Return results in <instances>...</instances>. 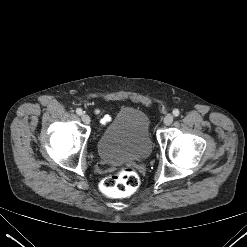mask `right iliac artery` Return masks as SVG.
Returning a JSON list of instances; mask_svg holds the SVG:
<instances>
[{
  "instance_id": "obj_1",
  "label": "right iliac artery",
  "mask_w": 247,
  "mask_h": 247,
  "mask_svg": "<svg viewBox=\"0 0 247 247\" xmlns=\"http://www.w3.org/2000/svg\"><path fill=\"white\" fill-rule=\"evenodd\" d=\"M76 113H77L78 115H82L83 111H82V109L77 108V109H76Z\"/></svg>"
}]
</instances>
